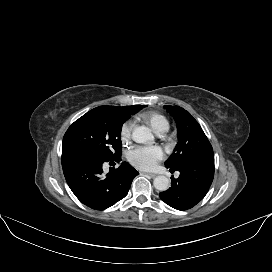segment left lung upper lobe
<instances>
[{
    "label": "left lung upper lobe",
    "instance_id": "5c2ea615",
    "mask_svg": "<svg viewBox=\"0 0 272 272\" xmlns=\"http://www.w3.org/2000/svg\"><path fill=\"white\" fill-rule=\"evenodd\" d=\"M164 108L173 116L178 129V144L165 162L167 168H178L187 161L213 155L209 140L188 111L179 106Z\"/></svg>",
    "mask_w": 272,
    "mask_h": 272
}]
</instances>
